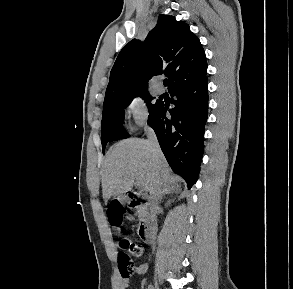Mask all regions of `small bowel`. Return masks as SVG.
Listing matches in <instances>:
<instances>
[{"label": "small bowel", "instance_id": "small-bowel-1", "mask_svg": "<svg viewBox=\"0 0 293 289\" xmlns=\"http://www.w3.org/2000/svg\"><path fill=\"white\" fill-rule=\"evenodd\" d=\"M146 269H147V265L145 263L138 265L136 268L138 273H144L146 271ZM127 285H128V283L125 281L123 283V288L127 287Z\"/></svg>", "mask_w": 293, "mask_h": 289}]
</instances>
